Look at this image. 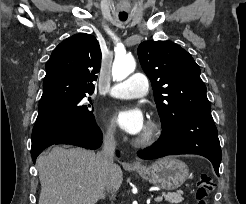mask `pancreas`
<instances>
[{
  "label": "pancreas",
  "mask_w": 246,
  "mask_h": 204,
  "mask_svg": "<svg viewBox=\"0 0 246 204\" xmlns=\"http://www.w3.org/2000/svg\"><path fill=\"white\" fill-rule=\"evenodd\" d=\"M163 196L165 197V200L170 203L178 204L184 200V198L181 196V193H163Z\"/></svg>",
  "instance_id": "cf45deb5"
}]
</instances>
